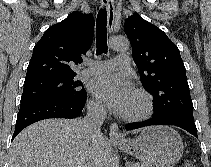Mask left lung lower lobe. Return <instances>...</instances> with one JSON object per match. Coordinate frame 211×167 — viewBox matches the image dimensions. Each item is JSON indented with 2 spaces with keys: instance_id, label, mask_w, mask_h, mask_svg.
<instances>
[{
  "instance_id": "1",
  "label": "left lung lower lobe",
  "mask_w": 211,
  "mask_h": 167,
  "mask_svg": "<svg viewBox=\"0 0 211 167\" xmlns=\"http://www.w3.org/2000/svg\"><path fill=\"white\" fill-rule=\"evenodd\" d=\"M151 125H175L180 128H183L184 130L188 131L196 138H198L197 128L194 121L183 117H163V118L153 117L146 121L129 123L125 126V128L126 130H133Z\"/></svg>"
}]
</instances>
